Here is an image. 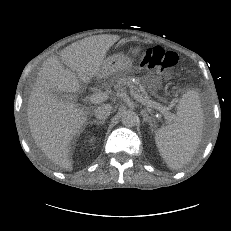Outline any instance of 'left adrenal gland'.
I'll return each mask as SVG.
<instances>
[{
	"label": "left adrenal gland",
	"instance_id": "obj_1",
	"mask_svg": "<svg viewBox=\"0 0 231 231\" xmlns=\"http://www.w3.org/2000/svg\"><path fill=\"white\" fill-rule=\"evenodd\" d=\"M141 115L143 116V121L147 122L150 125L151 130L153 131L154 124H153V120L151 119V117L148 116L145 110H141Z\"/></svg>",
	"mask_w": 231,
	"mask_h": 231
}]
</instances>
